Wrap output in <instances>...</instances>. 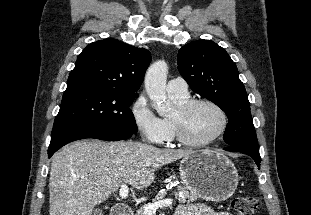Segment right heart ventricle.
<instances>
[{
	"label": "right heart ventricle",
	"instance_id": "e07e8e85",
	"mask_svg": "<svg viewBox=\"0 0 311 215\" xmlns=\"http://www.w3.org/2000/svg\"><path fill=\"white\" fill-rule=\"evenodd\" d=\"M169 96H170L171 100L174 102V104L176 106L186 102L190 98L189 94H187V95H177V94H170L169 93ZM165 121L168 123V125L170 127V131H171L170 139H173L176 136V131H175L174 125L172 123V120H171V118H165Z\"/></svg>",
	"mask_w": 311,
	"mask_h": 215
}]
</instances>
